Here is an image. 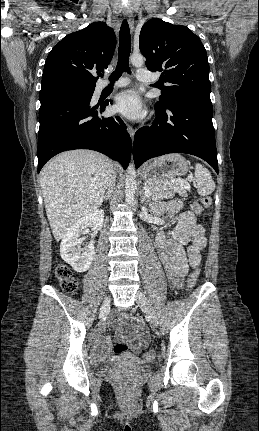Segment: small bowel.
I'll return each mask as SVG.
<instances>
[{"instance_id": "c3829d8e", "label": "small bowel", "mask_w": 259, "mask_h": 431, "mask_svg": "<svg viewBox=\"0 0 259 431\" xmlns=\"http://www.w3.org/2000/svg\"><path fill=\"white\" fill-rule=\"evenodd\" d=\"M167 208L170 215L180 209V202L173 200L166 206L160 205L157 211ZM194 211H184L179 215L176 228L172 232V242H168L163 230L156 236L158 255L163 264L167 276L174 288L181 285L182 279L191 268L200 264L201 251L206 246L205 230L196 224ZM189 244L185 249L184 245ZM113 327L116 331L117 339L128 344L133 353H140L147 345L148 332L145 322L140 317H132L122 314V318H116L110 323H104L93 336V344L96 356L106 358L109 355V347L112 344L111 338L103 337L102 332L107 327Z\"/></svg>"}]
</instances>
